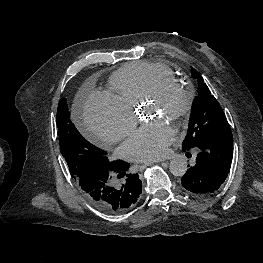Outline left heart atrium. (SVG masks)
Instances as JSON below:
<instances>
[{"label": "left heart atrium", "instance_id": "39dd6f15", "mask_svg": "<svg viewBox=\"0 0 263 263\" xmlns=\"http://www.w3.org/2000/svg\"><path fill=\"white\" fill-rule=\"evenodd\" d=\"M173 139V128L164 119L157 118L134 130L121 152L132 161L150 162L164 157Z\"/></svg>", "mask_w": 263, "mask_h": 263}]
</instances>
